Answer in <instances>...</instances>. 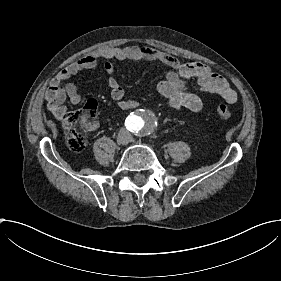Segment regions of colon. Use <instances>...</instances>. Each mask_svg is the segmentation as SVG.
I'll return each mask as SVG.
<instances>
[{
	"mask_svg": "<svg viewBox=\"0 0 281 281\" xmlns=\"http://www.w3.org/2000/svg\"><path fill=\"white\" fill-rule=\"evenodd\" d=\"M214 115L220 121H228L231 118V109L225 103H217L214 107ZM64 125L70 147L75 151L82 150L85 146V130L78 116L75 114L69 115Z\"/></svg>",
	"mask_w": 281,
	"mask_h": 281,
	"instance_id": "colon-1",
	"label": "colon"
}]
</instances>
